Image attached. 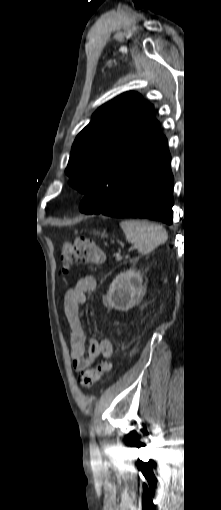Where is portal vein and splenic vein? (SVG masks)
Here are the masks:
<instances>
[{
	"label": "portal vein and splenic vein",
	"instance_id": "portal-vein-and-splenic-vein-1",
	"mask_svg": "<svg viewBox=\"0 0 221 510\" xmlns=\"http://www.w3.org/2000/svg\"><path fill=\"white\" fill-rule=\"evenodd\" d=\"M121 259H122L121 255H116V260H121Z\"/></svg>",
	"mask_w": 221,
	"mask_h": 510
}]
</instances>
